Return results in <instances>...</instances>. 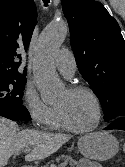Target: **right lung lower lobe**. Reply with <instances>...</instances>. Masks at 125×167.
<instances>
[{
	"label": "right lung lower lobe",
	"mask_w": 125,
	"mask_h": 167,
	"mask_svg": "<svg viewBox=\"0 0 125 167\" xmlns=\"http://www.w3.org/2000/svg\"><path fill=\"white\" fill-rule=\"evenodd\" d=\"M0 116L14 121H29L31 119L28 110L23 105L3 101H0Z\"/></svg>",
	"instance_id": "right-lung-lower-lobe-1"
}]
</instances>
